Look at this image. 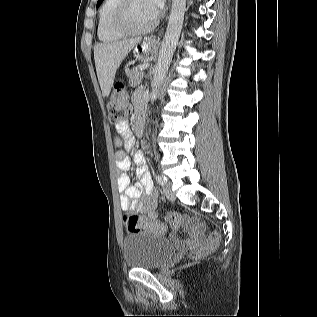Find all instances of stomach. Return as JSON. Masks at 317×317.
<instances>
[{
	"instance_id": "1",
	"label": "stomach",
	"mask_w": 317,
	"mask_h": 317,
	"mask_svg": "<svg viewBox=\"0 0 317 317\" xmlns=\"http://www.w3.org/2000/svg\"><path fill=\"white\" fill-rule=\"evenodd\" d=\"M119 77H120V78H123V77H124V74H123V73H120V74H119ZM113 87H115V86H113Z\"/></svg>"
}]
</instances>
